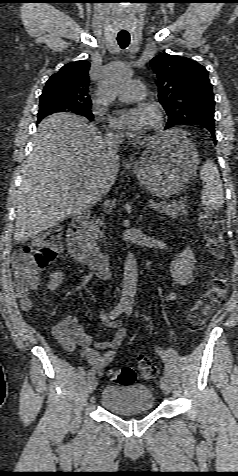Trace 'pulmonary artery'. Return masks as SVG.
<instances>
[{"label":"pulmonary artery","mask_w":238,"mask_h":476,"mask_svg":"<svg viewBox=\"0 0 238 476\" xmlns=\"http://www.w3.org/2000/svg\"><path fill=\"white\" fill-rule=\"evenodd\" d=\"M146 87L139 80L129 81L124 85L118 94V99L121 102H133L141 100L145 97Z\"/></svg>","instance_id":"1"}]
</instances>
